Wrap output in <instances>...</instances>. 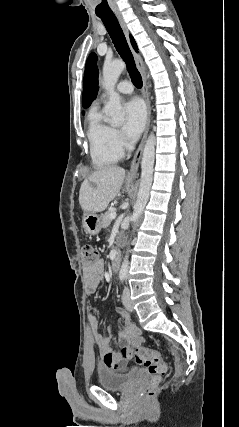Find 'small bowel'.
Returning <instances> with one entry per match:
<instances>
[{
    "label": "small bowel",
    "instance_id": "small-bowel-1",
    "mask_svg": "<svg viewBox=\"0 0 239 427\" xmlns=\"http://www.w3.org/2000/svg\"><path fill=\"white\" fill-rule=\"evenodd\" d=\"M103 272L104 262L101 259H97L92 265L85 266L84 275L90 292H95L98 289ZM117 311L125 319V326L118 336L119 342L129 349L139 347L143 343L140 329L130 321L129 314L125 309L118 308ZM90 324L94 341L102 357L103 366L111 370H124L126 368V357L112 350V336L100 332V322L95 315L91 316Z\"/></svg>",
    "mask_w": 239,
    "mask_h": 427
}]
</instances>
